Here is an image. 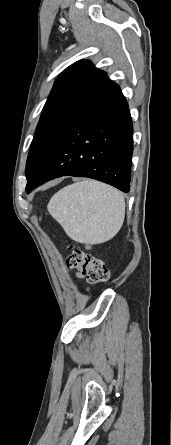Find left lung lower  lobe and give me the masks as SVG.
<instances>
[{"instance_id":"1","label":"left lung lower lobe","mask_w":171,"mask_h":445,"mask_svg":"<svg viewBox=\"0 0 171 445\" xmlns=\"http://www.w3.org/2000/svg\"><path fill=\"white\" fill-rule=\"evenodd\" d=\"M133 126L120 89L78 120L37 171L26 191L60 176L88 177L129 192Z\"/></svg>"}]
</instances>
